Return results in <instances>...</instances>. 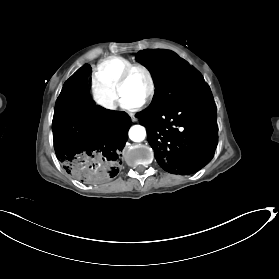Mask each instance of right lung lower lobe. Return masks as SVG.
<instances>
[{
  "label": "right lung lower lobe",
  "mask_w": 279,
  "mask_h": 279,
  "mask_svg": "<svg viewBox=\"0 0 279 279\" xmlns=\"http://www.w3.org/2000/svg\"><path fill=\"white\" fill-rule=\"evenodd\" d=\"M88 69L85 64L64 83L55 105L53 139L68 174L100 185L119 173L130 117L95 104L87 89Z\"/></svg>",
  "instance_id": "obj_1"
}]
</instances>
